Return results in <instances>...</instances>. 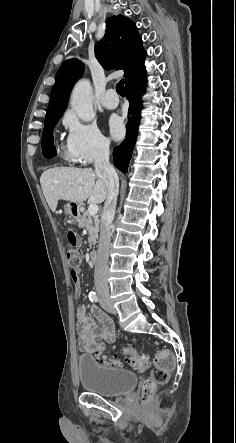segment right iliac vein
Instances as JSON below:
<instances>
[{"label":"right iliac vein","mask_w":236,"mask_h":443,"mask_svg":"<svg viewBox=\"0 0 236 443\" xmlns=\"http://www.w3.org/2000/svg\"><path fill=\"white\" fill-rule=\"evenodd\" d=\"M102 307H103L104 309L110 311V312L113 313V314H116V313H117L116 308H115L111 303L103 304Z\"/></svg>","instance_id":"63e3f726"}]
</instances>
